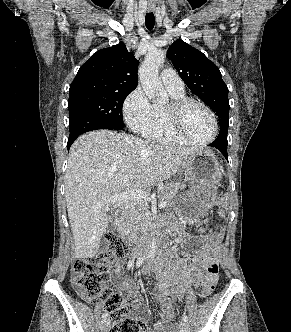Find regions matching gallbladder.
<instances>
[{
	"label": "gallbladder",
	"mask_w": 291,
	"mask_h": 332,
	"mask_svg": "<svg viewBox=\"0 0 291 332\" xmlns=\"http://www.w3.org/2000/svg\"><path fill=\"white\" fill-rule=\"evenodd\" d=\"M109 217V221H108V225L106 227V233H111L116 229L115 223H114V219H115V212L114 210H111L110 213L108 214Z\"/></svg>",
	"instance_id": "1"
}]
</instances>
